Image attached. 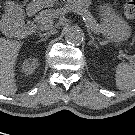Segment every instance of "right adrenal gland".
Listing matches in <instances>:
<instances>
[{"instance_id":"2a0ac1e0","label":"right adrenal gland","mask_w":135,"mask_h":135,"mask_svg":"<svg viewBox=\"0 0 135 135\" xmlns=\"http://www.w3.org/2000/svg\"><path fill=\"white\" fill-rule=\"evenodd\" d=\"M48 39V37H45L43 39L40 40V42L46 41Z\"/></svg>"}]
</instances>
